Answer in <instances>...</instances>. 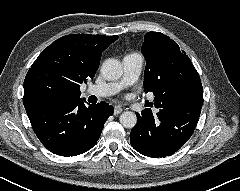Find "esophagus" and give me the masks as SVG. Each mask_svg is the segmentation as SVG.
<instances>
[{
  "label": "esophagus",
  "instance_id": "esophagus-1",
  "mask_svg": "<svg viewBox=\"0 0 240 191\" xmlns=\"http://www.w3.org/2000/svg\"><path fill=\"white\" fill-rule=\"evenodd\" d=\"M123 111V108H121L120 106H115L114 107V114L118 115Z\"/></svg>",
  "mask_w": 240,
  "mask_h": 191
}]
</instances>
